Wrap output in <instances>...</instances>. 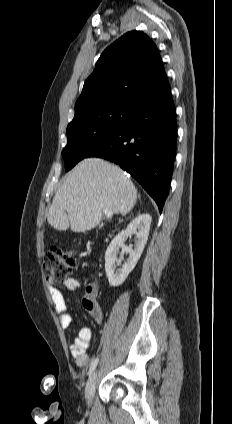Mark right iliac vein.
Returning a JSON list of instances; mask_svg holds the SVG:
<instances>
[{
    "label": "right iliac vein",
    "instance_id": "obj_1",
    "mask_svg": "<svg viewBox=\"0 0 232 424\" xmlns=\"http://www.w3.org/2000/svg\"><path fill=\"white\" fill-rule=\"evenodd\" d=\"M96 380H97V372H93L85 388V398H86L88 406L92 404V400H93V396L95 392Z\"/></svg>",
    "mask_w": 232,
    "mask_h": 424
}]
</instances>
